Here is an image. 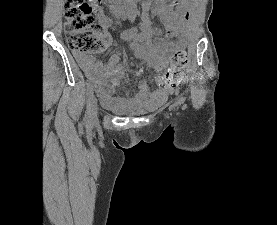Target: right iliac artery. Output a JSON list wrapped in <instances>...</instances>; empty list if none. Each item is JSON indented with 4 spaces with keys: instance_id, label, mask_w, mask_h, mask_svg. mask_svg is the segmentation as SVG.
Wrapping results in <instances>:
<instances>
[{
    "instance_id": "1",
    "label": "right iliac artery",
    "mask_w": 277,
    "mask_h": 225,
    "mask_svg": "<svg viewBox=\"0 0 277 225\" xmlns=\"http://www.w3.org/2000/svg\"><path fill=\"white\" fill-rule=\"evenodd\" d=\"M92 96H93V88L91 86H89L87 88V92H86V104H87V110H86V115H85L86 121H89V119H90L89 108H90V101H91Z\"/></svg>"
}]
</instances>
